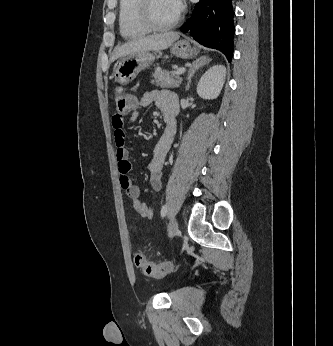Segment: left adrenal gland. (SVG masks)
I'll return each instance as SVG.
<instances>
[{"instance_id":"obj_1","label":"left adrenal gland","mask_w":333,"mask_h":346,"mask_svg":"<svg viewBox=\"0 0 333 346\" xmlns=\"http://www.w3.org/2000/svg\"><path fill=\"white\" fill-rule=\"evenodd\" d=\"M212 59L208 58L206 56H202L198 59H196L195 61L192 62V65L190 66L189 70H188V76H187V86H186V91L189 90L190 88V84H191V78L194 75V73L202 66L208 64Z\"/></svg>"}]
</instances>
